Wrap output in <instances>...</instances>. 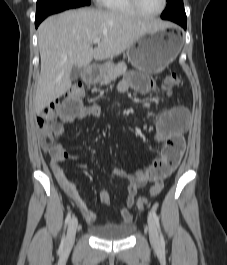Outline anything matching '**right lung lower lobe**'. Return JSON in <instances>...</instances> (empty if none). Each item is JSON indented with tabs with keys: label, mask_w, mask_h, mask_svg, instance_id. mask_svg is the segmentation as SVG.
<instances>
[{
	"label": "right lung lower lobe",
	"mask_w": 227,
	"mask_h": 265,
	"mask_svg": "<svg viewBox=\"0 0 227 265\" xmlns=\"http://www.w3.org/2000/svg\"><path fill=\"white\" fill-rule=\"evenodd\" d=\"M40 22H41V21H35V25H36V27L39 25Z\"/></svg>",
	"instance_id": "98d812e1"
}]
</instances>
